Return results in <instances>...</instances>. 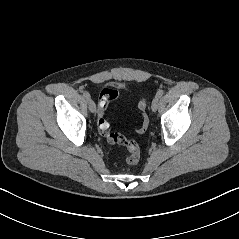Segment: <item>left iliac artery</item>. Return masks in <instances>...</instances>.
Segmentation results:
<instances>
[{"label": "left iliac artery", "mask_w": 239, "mask_h": 239, "mask_svg": "<svg viewBox=\"0 0 239 239\" xmlns=\"http://www.w3.org/2000/svg\"><path fill=\"white\" fill-rule=\"evenodd\" d=\"M163 94H164V91H163V90H158L157 93H156V96H157L158 98H161V97L163 96Z\"/></svg>", "instance_id": "1"}]
</instances>
